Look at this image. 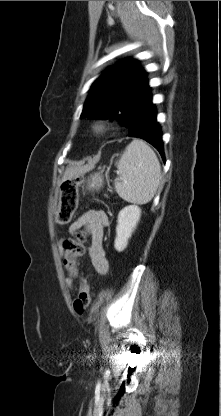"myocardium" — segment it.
Masks as SVG:
<instances>
[{
  "label": "myocardium",
  "instance_id": "1",
  "mask_svg": "<svg viewBox=\"0 0 221 416\" xmlns=\"http://www.w3.org/2000/svg\"><path fill=\"white\" fill-rule=\"evenodd\" d=\"M108 124L105 120H98L93 126V130L97 134H103L107 131Z\"/></svg>",
  "mask_w": 221,
  "mask_h": 416
}]
</instances>
